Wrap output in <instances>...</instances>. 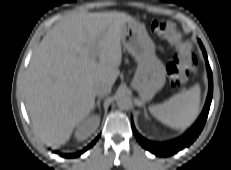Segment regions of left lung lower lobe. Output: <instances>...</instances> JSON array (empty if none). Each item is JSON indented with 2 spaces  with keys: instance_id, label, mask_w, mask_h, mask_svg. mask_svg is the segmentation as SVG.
<instances>
[{
  "instance_id": "obj_1",
  "label": "left lung lower lobe",
  "mask_w": 231,
  "mask_h": 170,
  "mask_svg": "<svg viewBox=\"0 0 231 170\" xmlns=\"http://www.w3.org/2000/svg\"><path fill=\"white\" fill-rule=\"evenodd\" d=\"M200 46L206 58L208 77H209V93H208V97L206 100L204 110L200 118L198 119V121L195 123V125L190 130H188L182 137L174 141L167 142V143H155V142L146 140L140 134H138V132L135 130L133 126V132L138 142L144 148H146L147 150L151 151L152 153L156 155H171V154L177 153L182 148L190 145L198 137V135L200 134V132L202 131L204 127V124L208 116V112H209V108H210V104L212 100V95H213V79H212V72H211V69H210V66L207 60L205 49L201 43H200Z\"/></svg>"
}]
</instances>
